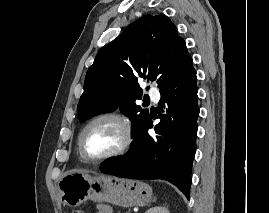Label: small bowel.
Masks as SVG:
<instances>
[{"label": "small bowel", "instance_id": "small-bowel-1", "mask_svg": "<svg viewBox=\"0 0 270 213\" xmlns=\"http://www.w3.org/2000/svg\"><path fill=\"white\" fill-rule=\"evenodd\" d=\"M97 213H112V212H111V208L109 206L101 205L98 208Z\"/></svg>", "mask_w": 270, "mask_h": 213}]
</instances>
